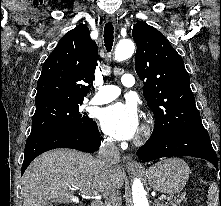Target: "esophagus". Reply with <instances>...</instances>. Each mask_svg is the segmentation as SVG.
Masks as SVG:
<instances>
[{
  "instance_id": "esophagus-1",
  "label": "esophagus",
  "mask_w": 221,
  "mask_h": 206,
  "mask_svg": "<svg viewBox=\"0 0 221 206\" xmlns=\"http://www.w3.org/2000/svg\"><path fill=\"white\" fill-rule=\"evenodd\" d=\"M106 19L109 22H115V17L112 15H108ZM123 165L126 170H135L141 168L140 164L133 160L130 156L123 157Z\"/></svg>"
}]
</instances>
